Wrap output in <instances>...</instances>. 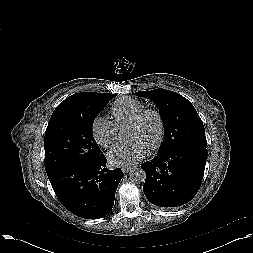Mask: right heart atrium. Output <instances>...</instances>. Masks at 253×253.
<instances>
[{"label": "right heart atrium", "mask_w": 253, "mask_h": 253, "mask_svg": "<svg viewBox=\"0 0 253 253\" xmlns=\"http://www.w3.org/2000/svg\"><path fill=\"white\" fill-rule=\"evenodd\" d=\"M116 126L108 119L98 116L92 122V135L95 142L102 148L108 149L116 143Z\"/></svg>", "instance_id": "1"}]
</instances>
